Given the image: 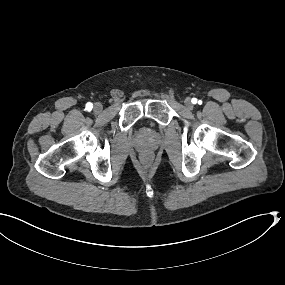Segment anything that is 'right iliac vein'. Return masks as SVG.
<instances>
[{
    "mask_svg": "<svg viewBox=\"0 0 285 285\" xmlns=\"http://www.w3.org/2000/svg\"><path fill=\"white\" fill-rule=\"evenodd\" d=\"M93 110L96 113H100L103 110L102 104L99 103V102L95 103L94 106H93Z\"/></svg>",
    "mask_w": 285,
    "mask_h": 285,
    "instance_id": "right-iliac-vein-1",
    "label": "right iliac vein"
}]
</instances>
